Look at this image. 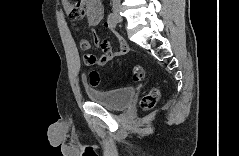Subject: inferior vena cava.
Masks as SVG:
<instances>
[{
  "label": "inferior vena cava",
  "mask_w": 239,
  "mask_h": 156,
  "mask_svg": "<svg viewBox=\"0 0 239 156\" xmlns=\"http://www.w3.org/2000/svg\"><path fill=\"white\" fill-rule=\"evenodd\" d=\"M114 3L118 4L120 0H113Z\"/></svg>",
  "instance_id": "obj_1"
}]
</instances>
